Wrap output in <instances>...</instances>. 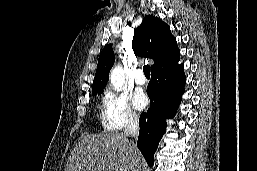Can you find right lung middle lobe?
Instances as JSON below:
<instances>
[{"label":"right lung middle lobe","mask_w":257,"mask_h":171,"mask_svg":"<svg viewBox=\"0 0 257 171\" xmlns=\"http://www.w3.org/2000/svg\"><path fill=\"white\" fill-rule=\"evenodd\" d=\"M101 93H102V92L94 93V94H92V95H94V96H95V95H100Z\"/></svg>","instance_id":"dd1d6c3e"}]
</instances>
